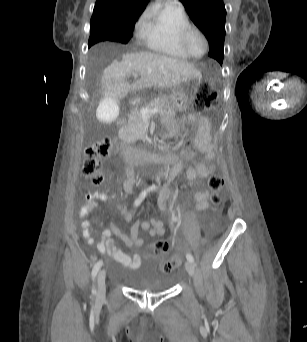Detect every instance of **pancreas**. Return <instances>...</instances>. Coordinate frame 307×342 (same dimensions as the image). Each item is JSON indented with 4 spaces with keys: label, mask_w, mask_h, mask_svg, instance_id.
Returning a JSON list of instances; mask_svg holds the SVG:
<instances>
[{
    "label": "pancreas",
    "mask_w": 307,
    "mask_h": 342,
    "mask_svg": "<svg viewBox=\"0 0 307 342\" xmlns=\"http://www.w3.org/2000/svg\"><path fill=\"white\" fill-rule=\"evenodd\" d=\"M146 108H149V110H154V108H157V110H160V117L164 119H169L170 116H175V112L173 110H169L167 100L166 98H156V100H152ZM132 122H135L136 128L135 132H138L140 134L141 138H138V140H143V136H145V122L143 120V116L140 114V112H134L132 118Z\"/></svg>",
    "instance_id": "obj_1"
}]
</instances>
